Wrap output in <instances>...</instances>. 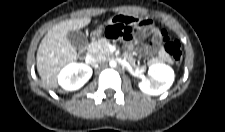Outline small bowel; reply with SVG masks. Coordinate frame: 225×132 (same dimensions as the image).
Here are the masks:
<instances>
[{"instance_id":"obj_1","label":"small bowel","mask_w":225,"mask_h":132,"mask_svg":"<svg viewBox=\"0 0 225 132\" xmlns=\"http://www.w3.org/2000/svg\"><path fill=\"white\" fill-rule=\"evenodd\" d=\"M115 25L121 27H132L136 30V43H131L126 46L127 57L134 66L137 65L134 58L135 53L150 56L149 63L152 65L171 61L170 56L164 49V46H159V43L164 39V36L153 26L150 20H142L130 16H121ZM142 30H146L152 35V42L148 45H143L140 42L143 37Z\"/></svg>"}]
</instances>
